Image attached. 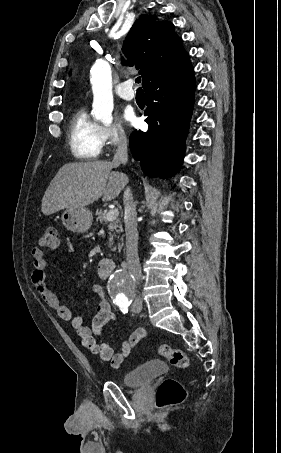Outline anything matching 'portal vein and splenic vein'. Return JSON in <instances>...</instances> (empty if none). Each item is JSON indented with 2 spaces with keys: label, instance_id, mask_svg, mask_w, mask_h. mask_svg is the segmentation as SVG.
I'll return each instance as SVG.
<instances>
[{
  "label": "portal vein and splenic vein",
  "instance_id": "1",
  "mask_svg": "<svg viewBox=\"0 0 281 453\" xmlns=\"http://www.w3.org/2000/svg\"><path fill=\"white\" fill-rule=\"evenodd\" d=\"M118 214H119L118 208H110V210H108V212H106L105 218H107V220H115V218H117Z\"/></svg>",
  "mask_w": 281,
  "mask_h": 453
}]
</instances>
